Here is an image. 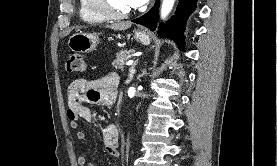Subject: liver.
<instances>
[{
	"mask_svg": "<svg viewBox=\"0 0 277 166\" xmlns=\"http://www.w3.org/2000/svg\"><path fill=\"white\" fill-rule=\"evenodd\" d=\"M131 22H121V23H115L112 25H108L107 28L118 30V31H124L128 28H130Z\"/></svg>",
	"mask_w": 277,
	"mask_h": 166,
	"instance_id": "1",
	"label": "liver"
}]
</instances>
